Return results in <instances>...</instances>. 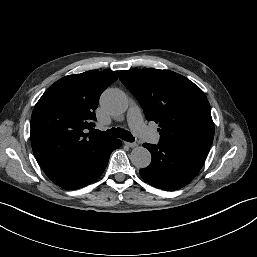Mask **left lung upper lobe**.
Masks as SVG:
<instances>
[{
	"mask_svg": "<svg viewBox=\"0 0 257 257\" xmlns=\"http://www.w3.org/2000/svg\"><path fill=\"white\" fill-rule=\"evenodd\" d=\"M120 80L136 97L147 120L159 123V143L212 144L210 104L189 79L149 68L121 71Z\"/></svg>",
	"mask_w": 257,
	"mask_h": 257,
	"instance_id": "5c2ea615",
	"label": "left lung upper lobe"
}]
</instances>
